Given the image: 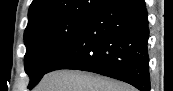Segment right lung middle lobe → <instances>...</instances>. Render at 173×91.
Wrapping results in <instances>:
<instances>
[{
    "label": "right lung middle lobe",
    "instance_id": "dd1d6c3e",
    "mask_svg": "<svg viewBox=\"0 0 173 91\" xmlns=\"http://www.w3.org/2000/svg\"><path fill=\"white\" fill-rule=\"evenodd\" d=\"M93 14L42 21L26 28L25 71L30 77V89L39 82L50 64L71 43Z\"/></svg>",
    "mask_w": 173,
    "mask_h": 91
}]
</instances>
